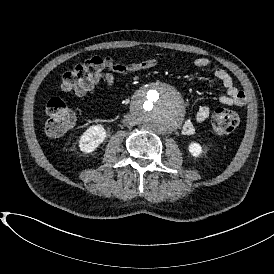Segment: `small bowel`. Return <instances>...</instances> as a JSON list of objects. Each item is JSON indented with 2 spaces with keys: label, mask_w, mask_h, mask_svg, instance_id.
<instances>
[{
  "label": "small bowel",
  "mask_w": 274,
  "mask_h": 274,
  "mask_svg": "<svg viewBox=\"0 0 274 274\" xmlns=\"http://www.w3.org/2000/svg\"><path fill=\"white\" fill-rule=\"evenodd\" d=\"M158 65L157 58H149L140 62H133L128 64H118L114 68L105 70L101 78L96 77L93 81L84 87L78 86L74 93L81 97L85 92L90 90L93 86L99 88L103 82L106 87L115 91L120 86V81L127 75L133 74L142 70L150 69ZM193 66L198 69H206L210 66V60L205 57H198L193 61ZM214 76L222 83L225 94L220 96L218 102L224 106H243L246 104V93L238 88L231 75L224 69L216 67L213 70ZM211 113V108L207 105L201 106L195 113L193 119H187L182 126V133L184 135H193L196 131V125L205 122Z\"/></svg>",
  "instance_id": "c3829d8e"
}]
</instances>
